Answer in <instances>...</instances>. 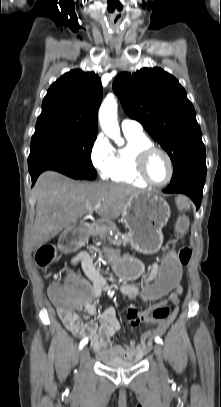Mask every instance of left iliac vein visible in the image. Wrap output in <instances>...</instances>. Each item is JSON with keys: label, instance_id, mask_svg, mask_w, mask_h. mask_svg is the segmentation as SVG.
Returning a JSON list of instances; mask_svg holds the SVG:
<instances>
[{"label": "left iliac vein", "instance_id": "4c4485c4", "mask_svg": "<svg viewBox=\"0 0 221 407\" xmlns=\"http://www.w3.org/2000/svg\"><path fill=\"white\" fill-rule=\"evenodd\" d=\"M154 354L157 357V360L159 362V370L161 373L164 372V365H163V361H162V347L160 344H156L154 346Z\"/></svg>", "mask_w": 221, "mask_h": 407}]
</instances>
